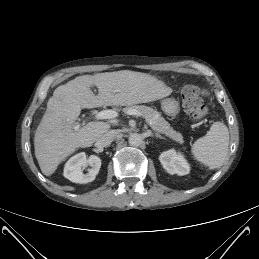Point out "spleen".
Wrapping results in <instances>:
<instances>
[{
    "instance_id": "3e777b00",
    "label": "spleen",
    "mask_w": 259,
    "mask_h": 259,
    "mask_svg": "<svg viewBox=\"0 0 259 259\" xmlns=\"http://www.w3.org/2000/svg\"><path fill=\"white\" fill-rule=\"evenodd\" d=\"M229 131L223 122H214L207 134L191 147L194 158L210 169L220 167L227 155Z\"/></svg>"
}]
</instances>
